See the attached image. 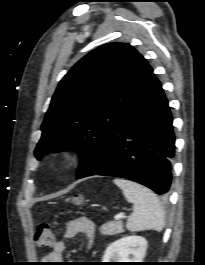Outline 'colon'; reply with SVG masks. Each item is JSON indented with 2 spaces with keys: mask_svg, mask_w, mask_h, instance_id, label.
I'll return each mask as SVG.
<instances>
[{
  "mask_svg": "<svg viewBox=\"0 0 205 265\" xmlns=\"http://www.w3.org/2000/svg\"><path fill=\"white\" fill-rule=\"evenodd\" d=\"M35 244L38 247H51L55 241V234L50 224H40L34 236Z\"/></svg>",
  "mask_w": 205,
  "mask_h": 265,
  "instance_id": "obj_1",
  "label": "colon"
}]
</instances>
